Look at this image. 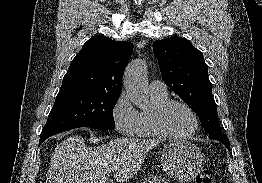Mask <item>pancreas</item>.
Segmentation results:
<instances>
[{
	"mask_svg": "<svg viewBox=\"0 0 262 183\" xmlns=\"http://www.w3.org/2000/svg\"><path fill=\"white\" fill-rule=\"evenodd\" d=\"M143 183H171L169 179L162 178L158 175L148 176L143 180Z\"/></svg>",
	"mask_w": 262,
	"mask_h": 183,
	"instance_id": "obj_1",
	"label": "pancreas"
}]
</instances>
